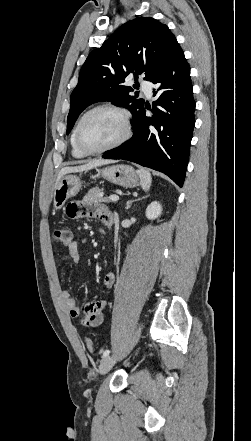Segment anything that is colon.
I'll use <instances>...</instances> for the list:
<instances>
[{
  "label": "colon",
  "instance_id": "colon-1",
  "mask_svg": "<svg viewBox=\"0 0 251 441\" xmlns=\"http://www.w3.org/2000/svg\"><path fill=\"white\" fill-rule=\"evenodd\" d=\"M52 238L55 242L64 246H68L72 242L71 231L67 226L64 225H59L54 228ZM85 346L89 352L94 351V343L91 339H86Z\"/></svg>",
  "mask_w": 251,
  "mask_h": 441
}]
</instances>
